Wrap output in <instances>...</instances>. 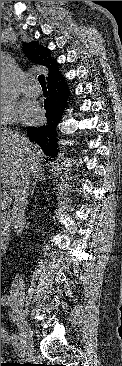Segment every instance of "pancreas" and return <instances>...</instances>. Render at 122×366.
Listing matches in <instances>:
<instances>
[{
  "label": "pancreas",
  "mask_w": 122,
  "mask_h": 366,
  "mask_svg": "<svg viewBox=\"0 0 122 366\" xmlns=\"http://www.w3.org/2000/svg\"><path fill=\"white\" fill-rule=\"evenodd\" d=\"M9 201L5 200L1 196V236L8 237L9 229H8V218L4 213V210L8 207Z\"/></svg>",
  "instance_id": "1"
}]
</instances>
